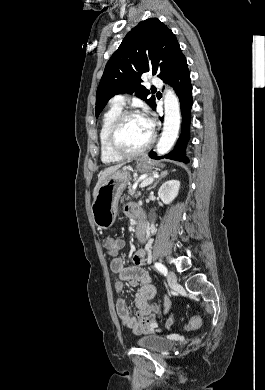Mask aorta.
<instances>
[{
    "mask_svg": "<svg viewBox=\"0 0 265 390\" xmlns=\"http://www.w3.org/2000/svg\"><path fill=\"white\" fill-rule=\"evenodd\" d=\"M164 127L157 144V153L166 154L173 146L180 127V106L178 98L172 89H166L164 95Z\"/></svg>",
    "mask_w": 265,
    "mask_h": 390,
    "instance_id": "obj_1",
    "label": "aorta"
}]
</instances>
